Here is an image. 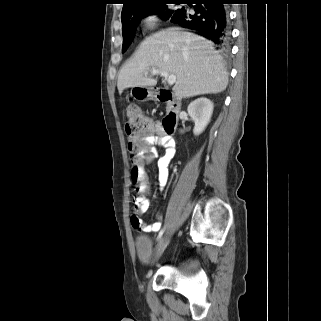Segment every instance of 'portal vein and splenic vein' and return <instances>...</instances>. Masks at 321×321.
I'll return each mask as SVG.
<instances>
[{
    "label": "portal vein and splenic vein",
    "mask_w": 321,
    "mask_h": 321,
    "mask_svg": "<svg viewBox=\"0 0 321 321\" xmlns=\"http://www.w3.org/2000/svg\"><path fill=\"white\" fill-rule=\"evenodd\" d=\"M151 74L152 75H156V74H160L161 76H163L169 85H173L175 82H176V76L175 75H171L167 72H164V71H161V70H158V69H153L151 70Z\"/></svg>",
    "instance_id": "18ae733b"
}]
</instances>
